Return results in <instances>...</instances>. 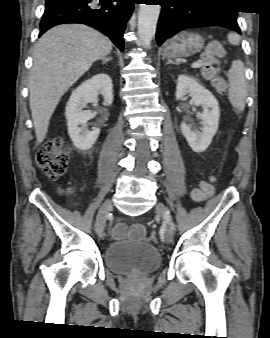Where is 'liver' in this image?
<instances>
[{"instance_id": "1", "label": "liver", "mask_w": 270, "mask_h": 338, "mask_svg": "<svg viewBox=\"0 0 270 338\" xmlns=\"http://www.w3.org/2000/svg\"><path fill=\"white\" fill-rule=\"evenodd\" d=\"M111 49L107 37L80 24L56 26L39 39L29 79V104L38 144L46 137L61 97Z\"/></svg>"}]
</instances>
